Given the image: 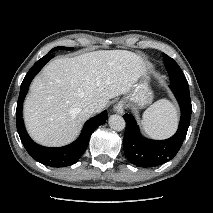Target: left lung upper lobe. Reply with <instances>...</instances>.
Returning <instances> with one entry per match:
<instances>
[{"instance_id": "5c2ea615", "label": "left lung upper lobe", "mask_w": 213, "mask_h": 213, "mask_svg": "<svg viewBox=\"0 0 213 213\" xmlns=\"http://www.w3.org/2000/svg\"><path fill=\"white\" fill-rule=\"evenodd\" d=\"M165 68L169 74L171 85L188 88V82L179 65L168 55L163 54Z\"/></svg>"}]
</instances>
